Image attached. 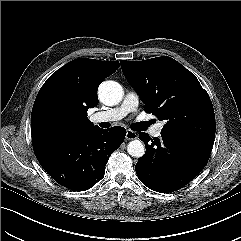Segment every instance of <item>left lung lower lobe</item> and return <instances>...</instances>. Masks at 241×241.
I'll list each match as a JSON object with an SVG mask.
<instances>
[{
    "label": "left lung lower lobe",
    "mask_w": 241,
    "mask_h": 241,
    "mask_svg": "<svg viewBox=\"0 0 241 241\" xmlns=\"http://www.w3.org/2000/svg\"><path fill=\"white\" fill-rule=\"evenodd\" d=\"M146 153L135 169L139 180L149 189L168 193L188 184L206 165L213 143L165 132L150 139L140 133Z\"/></svg>",
    "instance_id": "obj_1"
}]
</instances>
